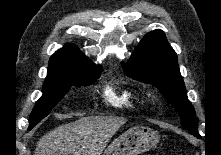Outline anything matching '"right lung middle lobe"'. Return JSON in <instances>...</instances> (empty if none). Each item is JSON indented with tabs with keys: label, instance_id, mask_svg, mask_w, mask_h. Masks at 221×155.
Here are the masks:
<instances>
[{
	"label": "right lung middle lobe",
	"instance_id": "1",
	"mask_svg": "<svg viewBox=\"0 0 221 155\" xmlns=\"http://www.w3.org/2000/svg\"><path fill=\"white\" fill-rule=\"evenodd\" d=\"M102 68L99 67V70ZM100 74L95 69H77L64 73H48L43 84V95L36 102L29 119L31 130L40 120L46 117L52 108L64 97L72 85H89Z\"/></svg>",
	"mask_w": 221,
	"mask_h": 155
}]
</instances>
